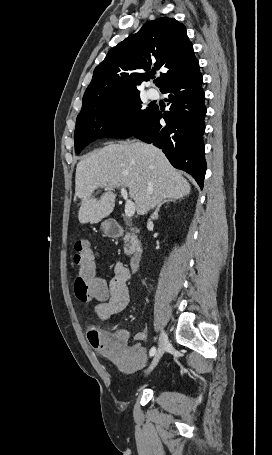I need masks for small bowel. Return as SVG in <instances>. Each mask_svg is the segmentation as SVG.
<instances>
[{"mask_svg":"<svg viewBox=\"0 0 272 455\" xmlns=\"http://www.w3.org/2000/svg\"><path fill=\"white\" fill-rule=\"evenodd\" d=\"M130 270L120 262L114 265V275L108 284V296L95 306L97 316L103 320L109 319L121 313L129 303V290L127 282L130 279ZM114 337L122 344L130 343L129 364L123 370L126 374H132L143 368L148 362V355L145 348L138 342L145 340L144 333H138L130 338L129 332L119 329Z\"/></svg>","mask_w":272,"mask_h":455,"instance_id":"obj_1","label":"small bowel"}]
</instances>
